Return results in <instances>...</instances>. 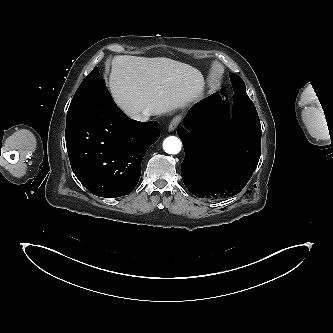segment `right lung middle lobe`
Instances as JSON below:
<instances>
[{"label": "right lung middle lobe", "mask_w": 333, "mask_h": 333, "mask_svg": "<svg viewBox=\"0 0 333 333\" xmlns=\"http://www.w3.org/2000/svg\"><path fill=\"white\" fill-rule=\"evenodd\" d=\"M104 84V80L99 76L98 68L95 67L82 81L74 94L67 112V119L84 110L96 90Z\"/></svg>", "instance_id": "right-lung-middle-lobe-1"}]
</instances>
